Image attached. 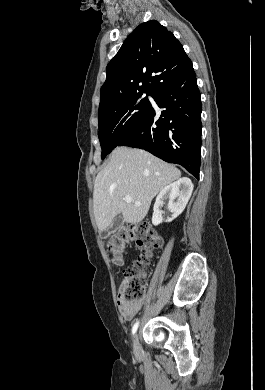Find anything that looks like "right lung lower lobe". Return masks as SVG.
Returning <instances> with one entry per match:
<instances>
[{"label":"right lung lower lobe","instance_id":"obj_1","mask_svg":"<svg viewBox=\"0 0 265 390\" xmlns=\"http://www.w3.org/2000/svg\"><path fill=\"white\" fill-rule=\"evenodd\" d=\"M160 117L150 106L143 119L118 146L144 149L169 163L182 165L199 178L201 99L192 62L153 94Z\"/></svg>","mask_w":265,"mask_h":390}]
</instances>
